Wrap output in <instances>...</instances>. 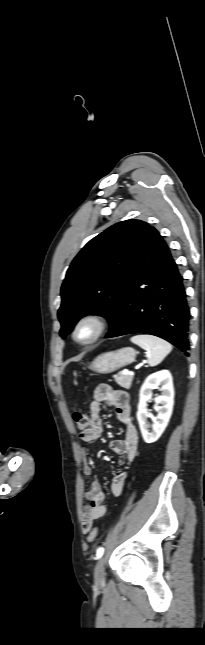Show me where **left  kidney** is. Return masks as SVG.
<instances>
[{"instance_id":"5707ae66","label":"left kidney","mask_w":205,"mask_h":645,"mask_svg":"<svg viewBox=\"0 0 205 645\" xmlns=\"http://www.w3.org/2000/svg\"><path fill=\"white\" fill-rule=\"evenodd\" d=\"M159 386L161 387L159 388ZM158 388L162 393L154 401L157 404H162V406L158 408L157 420L150 431L149 424L147 423V418L149 417L147 402L152 397V391ZM173 405L174 389L170 372L162 370L149 375L140 389L138 411L136 414L142 437L146 443H153L162 435L172 415Z\"/></svg>"}]
</instances>
